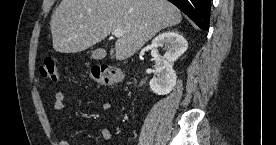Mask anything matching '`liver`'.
Here are the masks:
<instances>
[{
  "mask_svg": "<svg viewBox=\"0 0 276 145\" xmlns=\"http://www.w3.org/2000/svg\"><path fill=\"white\" fill-rule=\"evenodd\" d=\"M180 10L167 0H62L50 20L53 48L77 53L124 31L110 49L111 58L134 55L159 31L181 22Z\"/></svg>",
  "mask_w": 276,
  "mask_h": 145,
  "instance_id": "obj_1",
  "label": "liver"
}]
</instances>
